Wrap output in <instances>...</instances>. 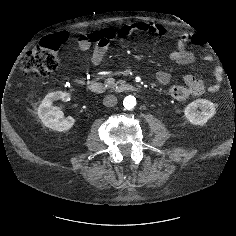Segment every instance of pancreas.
Returning <instances> with one entry per match:
<instances>
[{"label": "pancreas", "mask_w": 236, "mask_h": 236, "mask_svg": "<svg viewBox=\"0 0 236 236\" xmlns=\"http://www.w3.org/2000/svg\"><path fill=\"white\" fill-rule=\"evenodd\" d=\"M105 85L109 88L111 87H115L117 84H124L125 81L123 80H118L116 83H115V80L113 78H108L105 80Z\"/></svg>", "instance_id": "1"}]
</instances>
